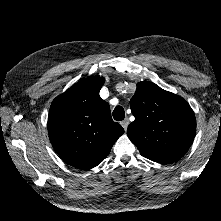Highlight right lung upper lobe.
Here are the masks:
<instances>
[{
	"label": "right lung upper lobe",
	"instance_id": "1",
	"mask_svg": "<svg viewBox=\"0 0 221 221\" xmlns=\"http://www.w3.org/2000/svg\"><path fill=\"white\" fill-rule=\"evenodd\" d=\"M105 79L88 77L57 96L48 115L52 146L67 164L88 170L100 164L124 133L111 118L110 107L99 91Z\"/></svg>",
	"mask_w": 221,
	"mask_h": 221
}]
</instances>
